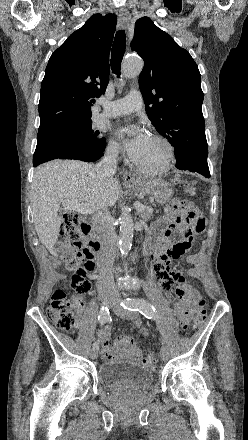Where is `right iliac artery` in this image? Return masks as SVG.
<instances>
[{
	"instance_id": "1",
	"label": "right iliac artery",
	"mask_w": 248,
	"mask_h": 440,
	"mask_svg": "<svg viewBox=\"0 0 248 440\" xmlns=\"http://www.w3.org/2000/svg\"><path fill=\"white\" fill-rule=\"evenodd\" d=\"M110 320V312L108 307L102 306L98 315V321L101 325H104L106 322ZM93 349H99L98 343L93 344Z\"/></svg>"
}]
</instances>
